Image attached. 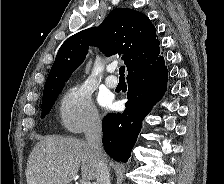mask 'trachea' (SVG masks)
Segmentation results:
<instances>
[{"instance_id": "obj_1", "label": "trachea", "mask_w": 224, "mask_h": 184, "mask_svg": "<svg viewBox=\"0 0 224 184\" xmlns=\"http://www.w3.org/2000/svg\"><path fill=\"white\" fill-rule=\"evenodd\" d=\"M125 66H121L120 68H119V75H120V78L121 79H124V76H125Z\"/></svg>"}]
</instances>
